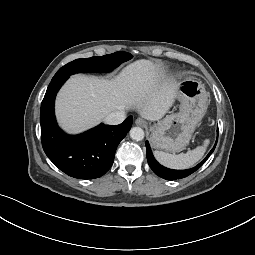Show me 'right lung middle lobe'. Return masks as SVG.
Here are the masks:
<instances>
[{"instance_id": "right-lung-middle-lobe-1", "label": "right lung middle lobe", "mask_w": 255, "mask_h": 255, "mask_svg": "<svg viewBox=\"0 0 255 255\" xmlns=\"http://www.w3.org/2000/svg\"><path fill=\"white\" fill-rule=\"evenodd\" d=\"M132 55L127 52H115L101 57H91L74 60L61 67L54 75L53 79L62 76H70L75 73L87 72H108L118 67L121 63L128 61Z\"/></svg>"}]
</instances>
